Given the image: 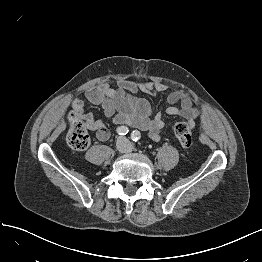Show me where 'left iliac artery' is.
<instances>
[{
    "mask_svg": "<svg viewBox=\"0 0 262 262\" xmlns=\"http://www.w3.org/2000/svg\"><path fill=\"white\" fill-rule=\"evenodd\" d=\"M140 138H141V133H140L138 130L132 131V133H131V139H132L134 142L139 141Z\"/></svg>",
    "mask_w": 262,
    "mask_h": 262,
    "instance_id": "1",
    "label": "left iliac artery"
}]
</instances>
